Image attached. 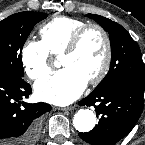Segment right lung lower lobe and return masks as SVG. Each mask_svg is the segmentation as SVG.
Wrapping results in <instances>:
<instances>
[{
  "instance_id": "98d812e1",
  "label": "right lung lower lobe",
  "mask_w": 145,
  "mask_h": 145,
  "mask_svg": "<svg viewBox=\"0 0 145 145\" xmlns=\"http://www.w3.org/2000/svg\"><path fill=\"white\" fill-rule=\"evenodd\" d=\"M31 92L23 78L0 77V145H35L38 141V118L51 106L20 101Z\"/></svg>"
}]
</instances>
